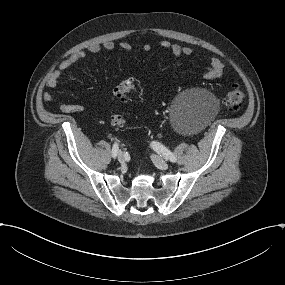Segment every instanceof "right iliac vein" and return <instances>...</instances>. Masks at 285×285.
I'll return each instance as SVG.
<instances>
[{"mask_svg":"<svg viewBox=\"0 0 285 285\" xmlns=\"http://www.w3.org/2000/svg\"><path fill=\"white\" fill-rule=\"evenodd\" d=\"M124 160H125V155L122 152H120L118 154V161L122 163L124 162Z\"/></svg>","mask_w":285,"mask_h":285,"instance_id":"right-iliac-vein-1","label":"right iliac vein"}]
</instances>
